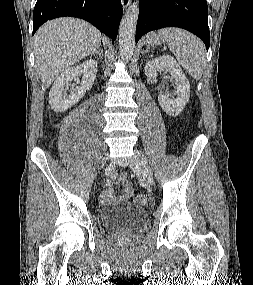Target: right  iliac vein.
<instances>
[{
  "mask_svg": "<svg viewBox=\"0 0 253 285\" xmlns=\"http://www.w3.org/2000/svg\"><path fill=\"white\" fill-rule=\"evenodd\" d=\"M106 171L108 174H112V172L114 171V165L110 164Z\"/></svg>",
  "mask_w": 253,
  "mask_h": 285,
  "instance_id": "right-iliac-vein-1",
  "label": "right iliac vein"
}]
</instances>
